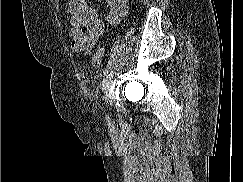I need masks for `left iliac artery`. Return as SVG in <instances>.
Wrapping results in <instances>:
<instances>
[{
  "label": "left iliac artery",
  "instance_id": "1",
  "mask_svg": "<svg viewBox=\"0 0 243 182\" xmlns=\"http://www.w3.org/2000/svg\"><path fill=\"white\" fill-rule=\"evenodd\" d=\"M106 120L109 124L111 123V118L109 117V115H106Z\"/></svg>",
  "mask_w": 243,
  "mask_h": 182
}]
</instances>
